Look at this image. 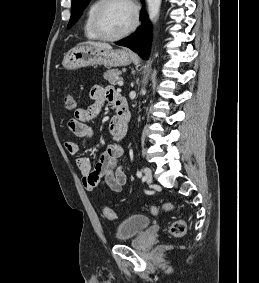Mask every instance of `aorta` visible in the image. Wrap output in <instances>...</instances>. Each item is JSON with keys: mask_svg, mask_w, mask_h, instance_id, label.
Returning <instances> with one entry per match:
<instances>
[{"mask_svg": "<svg viewBox=\"0 0 259 283\" xmlns=\"http://www.w3.org/2000/svg\"><path fill=\"white\" fill-rule=\"evenodd\" d=\"M147 5H148V15L150 21L155 24L159 12H160V6H161V0H147ZM149 67V64H148ZM147 83V80H144V85ZM144 91V88L142 89Z\"/></svg>", "mask_w": 259, "mask_h": 283, "instance_id": "1", "label": "aorta"}]
</instances>
